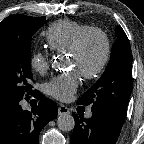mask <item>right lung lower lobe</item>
I'll use <instances>...</instances> for the list:
<instances>
[{
    "label": "right lung lower lobe",
    "instance_id": "right-lung-lower-lobe-1",
    "mask_svg": "<svg viewBox=\"0 0 144 144\" xmlns=\"http://www.w3.org/2000/svg\"><path fill=\"white\" fill-rule=\"evenodd\" d=\"M36 97L41 101L32 112L16 103L0 113V144H38L40 131L57 117L58 107L39 92Z\"/></svg>",
    "mask_w": 144,
    "mask_h": 144
}]
</instances>
